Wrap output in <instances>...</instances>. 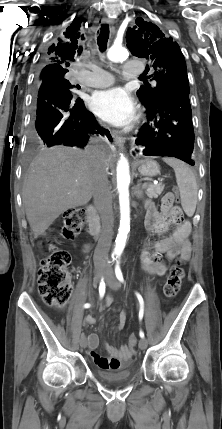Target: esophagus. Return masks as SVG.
I'll return each instance as SVG.
<instances>
[{
  "instance_id": "obj_1",
  "label": "esophagus",
  "mask_w": 222,
  "mask_h": 429,
  "mask_svg": "<svg viewBox=\"0 0 222 429\" xmlns=\"http://www.w3.org/2000/svg\"><path fill=\"white\" fill-rule=\"evenodd\" d=\"M102 23L103 24H111L112 21L109 18H107V17H103L102 18ZM112 31L114 32V28L113 27H112ZM112 137H113V140H114V142H115V144L117 146L122 147L124 145V139L117 132L114 131L112 133Z\"/></svg>"
}]
</instances>
